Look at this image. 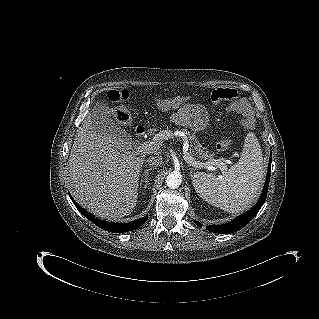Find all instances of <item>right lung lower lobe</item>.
Instances as JSON below:
<instances>
[{
    "label": "right lung lower lobe",
    "instance_id": "right-lung-lower-lobe-1",
    "mask_svg": "<svg viewBox=\"0 0 319 319\" xmlns=\"http://www.w3.org/2000/svg\"><path fill=\"white\" fill-rule=\"evenodd\" d=\"M73 203L75 204L76 208L88 219L90 220L92 223H94L95 225H97L98 227L102 228L103 230L109 231V232H113V233H123V232H128V231H132L137 229L138 227L142 226L148 216H145L141 219L129 222V223H114V222H107V221H103L100 219L95 218L94 216H92L91 214H89L88 212H86L83 208H81L80 206H78V204L73 200V198L71 197Z\"/></svg>",
    "mask_w": 319,
    "mask_h": 319
}]
</instances>
